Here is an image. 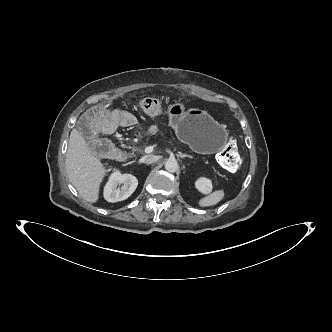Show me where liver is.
<instances>
[{"label":"liver","mask_w":332,"mask_h":332,"mask_svg":"<svg viewBox=\"0 0 332 332\" xmlns=\"http://www.w3.org/2000/svg\"><path fill=\"white\" fill-rule=\"evenodd\" d=\"M65 166L67 176L80 196L95 203L107 170L76 129L70 133Z\"/></svg>","instance_id":"1"}]
</instances>
